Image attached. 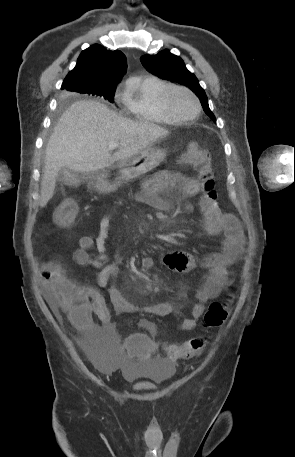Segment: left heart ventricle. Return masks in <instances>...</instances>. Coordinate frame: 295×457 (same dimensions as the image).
Returning a JSON list of instances; mask_svg holds the SVG:
<instances>
[{"label":"left heart ventricle","mask_w":295,"mask_h":457,"mask_svg":"<svg viewBox=\"0 0 295 457\" xmlns=\"http://www.w3.org/2000/svg\"><path fill=\"white\" fill-rule=\"evenodd\" d=\"M173 111L181 117H190L195 113L196 106L193 99L183 91H175L170 97Z\"/></svg>","instance_id":"obj_1"}]
</instances>
